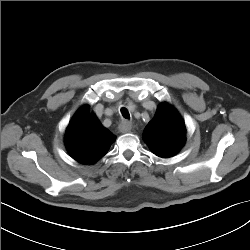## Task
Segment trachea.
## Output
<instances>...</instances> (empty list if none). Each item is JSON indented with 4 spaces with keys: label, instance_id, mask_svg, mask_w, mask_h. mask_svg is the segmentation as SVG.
<instances>
[{
    "label": "trachea",
    "instance_id": "1",
    "mask_svg": "<svg viewBox=\"0 0 250 250\" xmlns=\"http://www.w3.org/2000/svg\"><path fill=\"white\" fill-rule=\"evenodd\" d=\"M121 113H122V116L125 119H130V114H129L128 110L125 107L121 108Z\"/></svg>",
    "mask_w": 250,
    "mask_h": 250
}]
</instances>
